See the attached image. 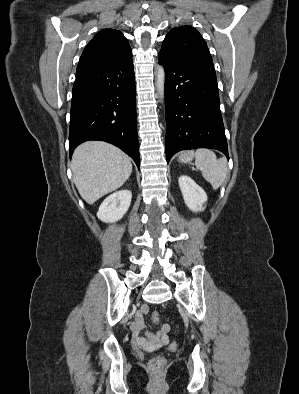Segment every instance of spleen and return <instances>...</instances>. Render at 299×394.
<instances>
[{"instance_id": "1", "label": "spleen", "mask_w": 299, "mask_h": 394, "mask_svg": "<svg viewBox=\"0 0 299 394\" xmlns=\"http://www.w3.org/2000/svg\"><path fill=\"white\" fill-rule=\"evenodd\" d=\"M195 166L202 172L214 190H217L227 176V160L225 157L217 159L210 149H199L195 152Z\"/></svg>"}]
</instances>
